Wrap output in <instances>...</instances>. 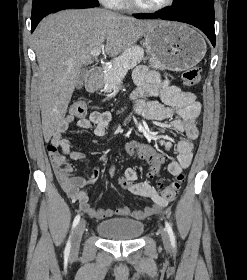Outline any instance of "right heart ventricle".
Returning <instances> with one entry per match:
<instances>
[{
	"instance_id": "e07e8e85",
	"label": "right heart ventricle",
	"mask_w": 247,
	"mask_h": 280,
	"mask_svg": "<svg viewBox=\"0 0 247 280\" xmlns=\"http://www.w3.org/2000/svg\"><path fill=\"white\" fill-rule=\"evenodd\" d=\"M119 7L125 8L127 6L126 0H120L118 3Z\"/></svg>"
}]
</instances>
